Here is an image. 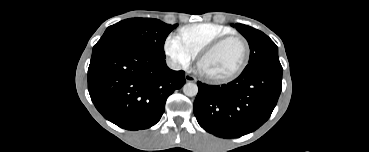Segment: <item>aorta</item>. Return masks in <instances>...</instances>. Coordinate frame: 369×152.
I'll return each mask as SVG.
<instances>
[{
	"label": "aorta",
	"mask_w": 369,
	"mask_h": 152,
	"mask_svg": "<svg viewBox=\"0 0 369 152\" xmlns=\"http://www.w3.org/2000/svg\"><path fill=\"white\" fill-rule=\"evenodd\" d=\"M183 93L189 97L196 96L198 93V86L195 83L188 82L183 86Z\"/></svg>",
	"instance_id": "aorta-1"
}]
</instances>
